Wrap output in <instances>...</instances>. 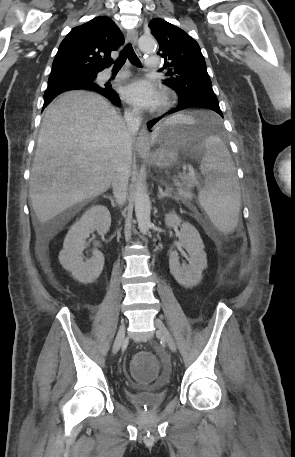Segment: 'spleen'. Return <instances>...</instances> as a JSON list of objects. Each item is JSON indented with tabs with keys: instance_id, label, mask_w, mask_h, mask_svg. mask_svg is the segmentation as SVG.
Here are the masks:
<instances>
[{
	"instance_id": "obj_1",
	"label": "spleen",
	"mask_w": 295,
	"mask_h": 457,
	"mask_svg": "<svg viewBox=\"0 0 295 457\" xmlns=\"http://www.w3.org/2000/svg\"><path fill=\"white\" fill-rule=\"evenodd\" d=\"M188 115L177 114L165 121V125L193 122ZM205 154L200 170L205 176V185L198 193L201 207L214 226L222 233H232L238 223L241 193L231 155L224 143L214 135L203 143Z\"/></svg>"
}]
</instances>
